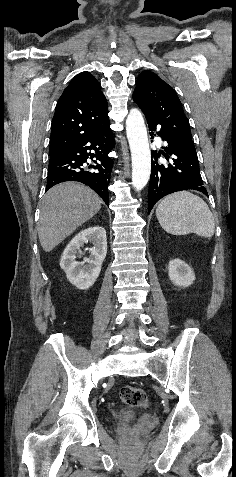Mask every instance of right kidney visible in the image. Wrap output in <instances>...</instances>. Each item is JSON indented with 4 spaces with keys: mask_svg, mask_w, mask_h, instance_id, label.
Instances as JSON below:
<instances>
[{
    "mask_svg": "<svg viewBox=\"0 0 236 477\" xmlns=\"http://www.w3.org/2000/svg\"><path fill=\"white\" fill-rule=\"evenodd\" d=\"M92 243L90 256L81 262L76 261V255L85 243ZM107 254L106 231L103 227L95 226L87 228L77 234L66 246L60 266L65 271L67 279L78 289L84 290L91 287L97 280L102 263Z\"/></svg>",
    "mask_w": 236,
    "mask_h": 477,
    "instance_id": "obj_1",
    "label": "right kidney"
}]
</instances>
